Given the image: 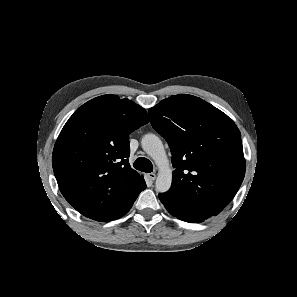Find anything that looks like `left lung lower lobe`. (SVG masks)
Returning a JSON list of instances; mask_svg holds the SVG:
<instances>
[{
	"mask_svg": "<svg viewBox=\"0 0 297 297\" xmlns=\"http://www.w3.org/2000/svg\"><path fill=\"white\" fill-rule=\"evenodd\" d=\"M159 199L164 204L168 212L180 220L190 223H199L205 220L200 216L182 208L169 194H167V192L159 194Z\"/></svg>",
	"mask_w": 297,
	"mask_h": 297,
	"instance_id": "left-lung-lower-lobe-1",
	"label": "left lung lower lobe"
}]
</instances>
